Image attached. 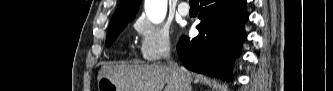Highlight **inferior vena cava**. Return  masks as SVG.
I'll return each instance as SVG.
<instances>
[{
	"instance_id": "602c4592",
	"label": "inferior vena cava",
	"mask_w": 333,
	"mask_h": 91,
	"mask_svg": "<svg viewBox=\"0 0 333 91\" xmlns=\"http://www.w3.org/2000/svg\"><path fill=\"white\" fill-rule=\"evenodd\" d=\"M169 59V56H168ZM168 66L172 68V73L175 78L179 80L180 91H191V86L186 81L183 71L181 68L172 60L168 61Z\"/></svg>"
}]
</instances>
